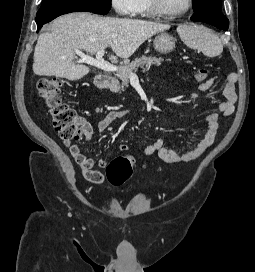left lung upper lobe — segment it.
Listing matches in <instances>:
<instances>
[{
	"instance_id": "5c2ea615",
	"label": "left lung upper lobe",
	"mask_w": 255,
	"mask_h": 272,
	"mask_svg": "<svg viewBox=\"0 0 255 272\" xmlns=\"http://www.w3.org/2000/svg\"><path fill=\"white\" fill-rule=\"evenodd\" d=\"M195 8L194 11H199L208 7L222 8V0H192Z\"/></svg>"
}]
</instances>
